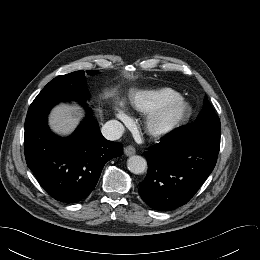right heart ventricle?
<instances>
[{"label": "right heart ventricle", "instance_id": "obj_1", "mask_svg": "<svg viewBox=\"0 0 260 260\" xmlns=\"http://www.w3.org/2000/svg\"><path fill=\"white\" fill-rule=\"evenodd\" d=\"M179 93L169 87L139 89L130 94L129 105L140 113H147L160 103L178 96Z\"/></svg>", "mask_w": 260, "mask_h": 260}]
</instances>
